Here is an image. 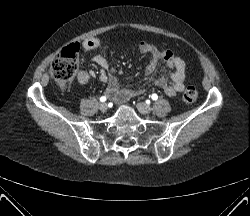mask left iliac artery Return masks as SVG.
I'll return each instance as SVG.
<instances>
[{"instance_id": "obj_1", "label": "left iliac artery", "mask_w": 250, "mask_h": 216, "mask_svg": "<svg viewBox=\"0 0 250 216\" xmlns=\"http://www.w3.org/2000/svg\"><path fill=\"white\" fill-rule=\"evenodd\" d=\"M151 98H152V100H157L158 99V95L157 94H152Z\"/></svg>"}]
</instances>
